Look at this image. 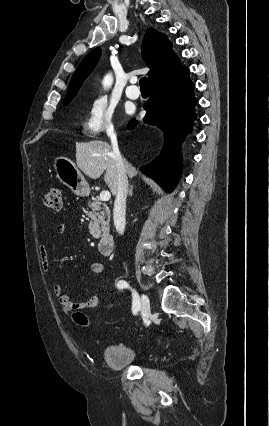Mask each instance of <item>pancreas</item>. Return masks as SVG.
<instances>
[{
  "label": "pancreas",
  "instance_id": "obj_1",
  "mask_svg": "<svg viewBox=\"0 0 269 426\" xmlns=\"http://www.w3.org/2000/svg\"><path fill=\"white\" fill-rule=\"evenodd\" d=\"M88 205L90 208L88 216L91 219L89 223V231L94 238H99L101 234L100 228L109 226L110 210L98 197L92 198V201H89Z\"/></svg>",
  "mask_w": 269,
  "mask_h": 426
}]
</instances>
